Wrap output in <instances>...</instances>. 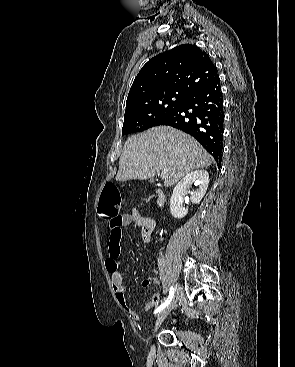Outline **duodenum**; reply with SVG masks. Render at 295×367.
<instances>
[{"label":"duodenum","instance_id":"410a0bca","mask_svg":"<svg viewBox=\"0 0 295 367\" xmlns=\"http://www.w3.org/2000/svg\"><path fill=\"white\" fill-rule=\"evenodd\" d=\"M156 193H157V205L158 207L161 208L163 207L165 203V199H164L163 193L160 190H157Z\"/></svg>","mask_w":295,"mask_h":367}]
</instances>
